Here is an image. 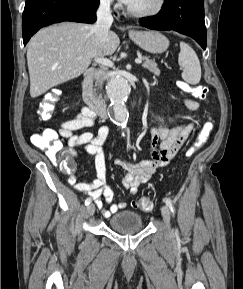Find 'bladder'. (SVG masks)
Listing matches in <instances>:
<instances>
[{
    "label": "bladder",
    "instance_id": "bladder-1",
    "mask_svg": "<svg viewBox=\"0 0 243 289\" xmlns=\"http://www.w3.org/2000/svg\"><path fill=\"white\" fill-rule=\"evenodd\" d=\"M108 225L117 232H130L140 230L143 227V220L138 213L125 210L112 215L108 220Z\"/></svg>",
    "mask_w": 243,
    "mask_h": 289
}]
</instances>
